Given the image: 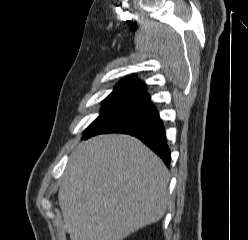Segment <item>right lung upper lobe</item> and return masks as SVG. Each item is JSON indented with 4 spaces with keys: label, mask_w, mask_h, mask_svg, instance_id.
Instances as JSON below:
<instances>
[{
    "label": "right lung upper lobe",
    "mask_w": 248,
    "mask_h": 240,
    "mask_svg": "<svg viewBox=\"0 0 248 240\" xmlns=\"http://www.w3.org/2000/svg\"><path fill=\"white\" fill-rule=\"evenodd\" d=\"M144 83L137 78H129L120 82L112 92L113 94L131 97L138 102L144 101L150 98L146 94Z\"/></svg>",
    "instance_id": "right-lung-upper-lobe-1"
}]
</instances>
